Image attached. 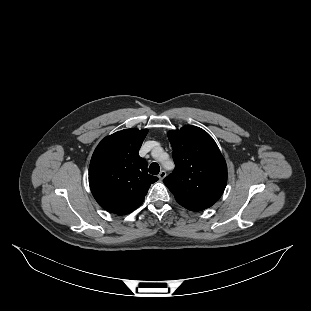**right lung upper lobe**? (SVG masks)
<instances>
[{
	"label": "right lung upper lobe",
	"mask_w": 311,
	"mask_h": 311,
	"mask_svg": "<svg viewBox=\"0 0 311 311\" xmlns=\"http://www.w3.org/2000/svg\"><path fill=\"white\" fill-rule=\"evenodd\" d=\"M148 130L125 129L104 138L89 166V185L98 204L108 212L125 215L138 208L150 185L158 180L147 173L138 154Z\"/></svg>",
	"instance_id": "1"
}]
</instances>
